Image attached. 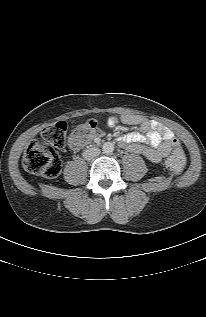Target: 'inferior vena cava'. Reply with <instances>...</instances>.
Returning <instances> with one entry per match:
<instances>
[{
    "label": "inferior vena cava",
    "instance_id": "1",
    "mask_svg": "<svg viewBox=\"0 0 206 317\" xmlns=\"http://www.w3.org/2000/svg\"><path fill=\"white\" fill-rule=\"evenodd\" d=\"M100 153H101V151H100L99 148L91 147V148L86 149V150L83 152V157H84L86 160H91V159H94V158H96L97 156H99Z\"/></svg>",
    "mask_w": 206,
    "mask_h": 317
}]
</instances>
